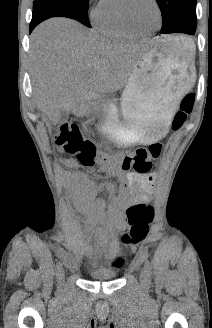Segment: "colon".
Masks as SVG:
<instances>
[{
	"instance_id": "obj_1",
	"label": "colon",
	"mask_w": 212,
	"mask_h": 328,
	"mask_svg": "<svg viewBox=\"0 0 212 328\" xmlns=\"http://www.w3.org/2000/svg\"><path fill=\"white\" fill-rule=\"evenodd\" d=\"M195 96L186 94L176 112L172 129L182 128L194 106ZM56 144L66 153L74 156L85 167L96 164L98 173H112L113 170H134L138 173L149 172L153 162L160 159L163 145L153 143L148 147H139L133 153H109L101 151L97 144L86 137L76 123L62 124L55 135ZM154 217L153 207L144 204L132 205L127 210L129 233L122 235L121 241L126 245H136L142 242L149 231V223ZM122 264V259L115 261Z\"/></svg>"
}]
</instances>
